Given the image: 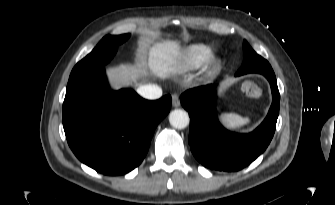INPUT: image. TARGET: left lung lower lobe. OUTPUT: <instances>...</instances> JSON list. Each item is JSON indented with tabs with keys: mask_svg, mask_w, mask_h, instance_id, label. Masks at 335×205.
<instances>
[{
	"mask_svg": "<svg viewBox=\"0 0 335 205\" xmlns=\"http://www.w3.org/2000/svg\"><path fill=\"white\" fill-rule=\"evenodd\" d=\"M263 75L271 86L272 105L261 125L248 134L230 132L220 124L215 112V85L194 88L181 95V104L191 120L190 148L205 167L238 171L252 163L268 147L279 115L280 94L275 74ZM236 76L239 74L236 73Z\"/></svg>",
	"mask_w": 335,
	"mask_h": 205,
	"instance_id": "obj_1",
	"label": "left lung lower lobe"
}]
</instances>
